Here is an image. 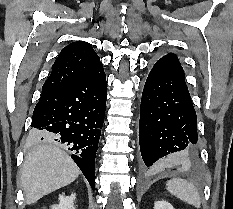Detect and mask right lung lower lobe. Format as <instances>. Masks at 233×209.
<instances>
[{
	"mask_svg": "<svg viewBox=\"0 0 233 209\" xmlns=\"http://www.w3.org/2000/svg\"><path fill=\"white\" fill-rule=\"evenodd\" d=\"M106 75L102 64L92 72L46 93L33 112L32 127L52 133L73 152L76 162L95 188V157L104 122Z\"/></svg>",
	"mask_w": 233,
	"mask_h": 209,
	"instance_id": "1",
	"label": "right lung lower lobe"
}]
</instances>
